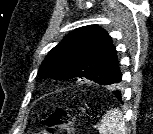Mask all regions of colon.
<instances>
[{
  "instance_id": "5ec220e1",
  "label": "colon",
  "mask_w": 153,
  "mask_h": 134,
  "mask_svg": "<svg viewBox=\"0 0 153 134\" xmlns=\"http://www.w3.org/2000/svg\"><path fill=\"white\" fill-rule=\"evenodd\" d=\"M46 125L45 131L29 134H75L74 124L64 109H57L49 115Z\"/></svg>"
}]
</instances>
